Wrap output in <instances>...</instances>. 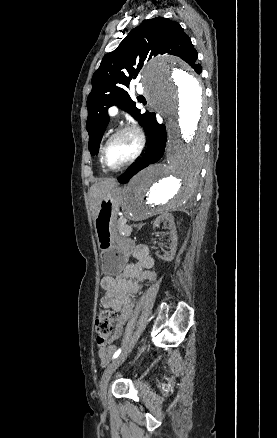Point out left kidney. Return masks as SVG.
Listing matches in <instances>:
<instances>
[{
  "label": "left kidney",
  "instance_id": "obj_1",
  "mask_svg": "<svg viewBox=\"0 0 277 438\" xmlns=\"http://www.w3.org/2000/svg\"><path fill=\"white\" fill-rule=\"evenodd\" d=\"M160 222H169L171 244H170V248H169L170 252H166V254H164V256H159V258H161V260H165V262H172V260H174L175 254H176V248H177V244H178L174 216H172V214H168V212H165V214H161V216H158V218H156V220L153 224L154 230H155V228H157V226H158V224H160Z\"/></svg>",
  "mask_w": 277,
  "mask_h": 438
}]
</instances>
